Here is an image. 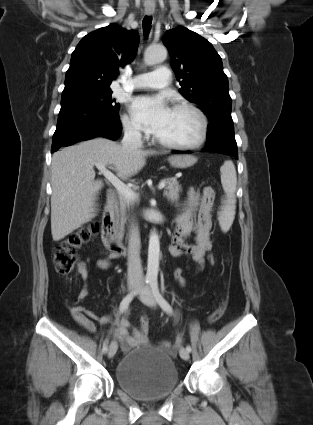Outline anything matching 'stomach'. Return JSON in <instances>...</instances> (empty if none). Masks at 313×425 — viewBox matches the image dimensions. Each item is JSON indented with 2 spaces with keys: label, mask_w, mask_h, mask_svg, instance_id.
I'll list each match as a JSON object with an SVG mask.
<instances>
[{
  "label": "stomach",
  "mask_w": 313,
  "mask_h": 425,
  "mask_svg": "<svg viewBox=\"0 0 313 425\" xmlns=\"http://www.w3.org/2000/svg\"><path fill=\"white\" fill-rule=\"evenodd\" d=\"M170 165L177 169H186L194 165L197 158L192 155H173L168 158Z\"/></svg>",
  "instance_id": "1"
}]
</instances>
